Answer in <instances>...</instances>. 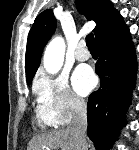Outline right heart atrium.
<instances>
[{"instance_id":"1","label":"right heart atrium","mask_w":139,"mask_h":150,"mask_svg":"<svg viewBox=\"0 0 139 150\" xmlns=\"http://www.w3.org/2000/svg\"><path fill=\"white\" fill-rule=\"evenodd\" d=\"M38 102L48 113L55 126L69 123L86 110L85 101L71 89L65 73L42 76L35 83Z\"/></svg>"}]
</instances>
